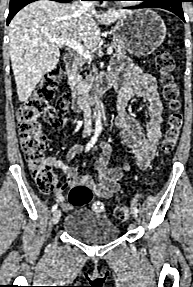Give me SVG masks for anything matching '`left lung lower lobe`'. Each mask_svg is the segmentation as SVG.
Wrapping results in <instances>:
<instances>
[{
  "instance_id": "0a47b994",
  "label": "left lung lower lobe",
  "mask_w": 193,
  "mask_h": 287,
  "mask_svg": "<svg viewBox=\"0 0 193 287\" xmlns=\"http://www.w3.org/2000/svg\"><path fill=\"white\" fill-rule=\"evenodd\" d=\"M141 1H143V3H141L138 6L132 7V9L151 8V7L162 8L175 13L183 21H185L181 3L186 2L187 0H141Z\"/></svg>"
}]
</instances>
